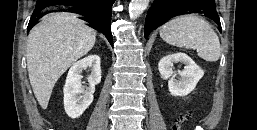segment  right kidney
Instances as JSON below:
<instances>
[{
  "label": "right kidney",
  "mask_w": 257,
  "mask_h": 130,
  "mask_svg": "<svg viewBox=\"0 0 257 130\" xmlns=\"http://www.w3.org/2000/svg\"><path fill=\"white\" fill-rule=\"evenodd\" d=\"M90 68L91 74L87 77L89 87L82 86L81 73ZM101 82L100 57L96 54L89 55L70 68L66 83L63 88L64 109L66 114L75 119L78 118L93 102L95 85Z\"/></svg>",
  "instance_id": "ca27d5eb"
}]
</instances>
